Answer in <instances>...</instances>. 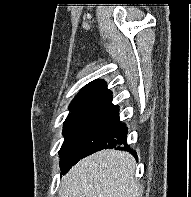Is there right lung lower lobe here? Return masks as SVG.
I'll use <instances>...</instances> for the list:
<instances>
[{
    "label": "right lung lower lobe",
    "instance_id": "obj_1",
    "mask_svg": "<svg viewBox=\"0 0 191 197\" xmlns=\"http://www.w3.org/2000/svg\"><path fill=\"white\" fill-rule=\"evenodd\" d=\"M119 107L112 104V94L96 105L85 119L71 148L62 174L80 159L102 149H125L136 154L127 145V127L119 120Z\"/></svg>",
    "mask_w": 191,
    "mask_h": 197
}]
</instances>
